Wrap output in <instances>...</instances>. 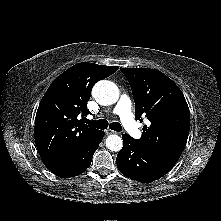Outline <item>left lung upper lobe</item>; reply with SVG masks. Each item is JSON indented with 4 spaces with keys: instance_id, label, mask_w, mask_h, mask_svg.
I'll return each mask as SVG.
<instances>
[{
    "instance_id": "left-lung-upper-lobe-1",
    "label": "left lung upper lobe",
    "mask_w": 221,
    "mask_h": 221,
    "mask_svg": "<svg viewBox=\"0 0 221 221\" xmlns=\"http://www.w3.org/2000/svg\"><path fill=\"white\" fill-rule=\"evenodd\" d=\"M132 89L135 118L146 116L137 144L164 160L176 164L187 142L190 112L179 87L157 69L120 68Z\"/></svg>"
}]
</instances>
